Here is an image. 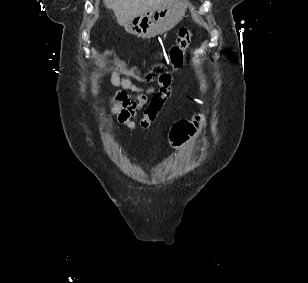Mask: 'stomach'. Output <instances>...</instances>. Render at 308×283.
I'll return each instance as SVG.
<instances>
[{
	"instance_id": "stomach-1",
	"label": "stomach",
	"mask_w": 308,
	"mask_h": 283,
	"mask_svg": "<svg viewBox=\"0 0 308 283\" xmlns=\"http://www.w3.org/2000/svg\"><path fill=\"white\" fill-rule=\"evenodd\" d=\"M186 9V0H172L133 17L124 28L136 37L150 39L174 28L184 17Z\"/></svg>"
}]
</instances>
